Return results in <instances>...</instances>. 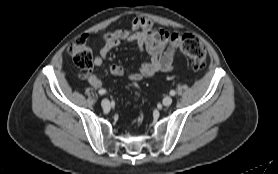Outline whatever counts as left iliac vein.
<instances>
[{
    "mask_svg": "<svg viewBox=\"0 0 278 174\" xmlns=\"http://www.w3.org/2000/svg\"><path fill=\"white\" fill-rule=\"evenodd\" d=\"M172 103V98L170 96H166L164 99H163V105L168 107L170 106Z\"/></svg>",
    "mask_w": 278,
    "mask_h": 174,
    "instance_id": "1",
    "label": "left iliac vein"
}]
</instances>
